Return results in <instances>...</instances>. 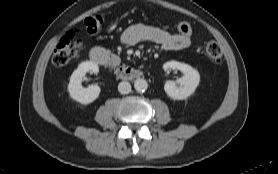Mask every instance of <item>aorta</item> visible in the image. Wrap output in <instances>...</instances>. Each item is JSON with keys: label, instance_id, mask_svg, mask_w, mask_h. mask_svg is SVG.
Returning a JSON list of instances; mask_svg holds the SVG:
<instances>
[{"label": "aorta", "instance_id": "aorta-1", "mask_svg": "<svg viewBox=\"0 0 278 174\" xmlns=\"http://www.w3.org/2000/svg\"><path fill=\"white\" fill-rule=\"evenodd\" d=\"M148 87V83L145 79L139 78L134 81V88L138 92H144Z\"/></svg>", "mask_w": 278, "mask_h": 174}]
</instances>
